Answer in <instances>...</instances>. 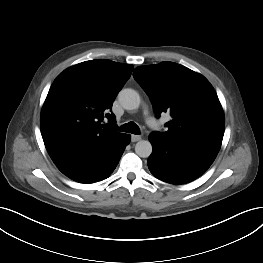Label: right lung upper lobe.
Masks as SVG:
<instances>
[{
    "label": "right lung upper lobe",
    "instance_id": "right-lung-upper-lobe-1",
    "mask_svg": "<svg viewBox=\"0 0 263 263\" xmlns=\"http://www.w3.org/2000/svg\"><path fill=\"white\" fill-rule=\"evenodd\" d=\"M132 70V65L96 59L71 66L54 80L40 127L57 166L113 146L124 135L116 131L115 115L108 112ZM105 117L109 123L102 124Z\"/></svg>",
    "mask_w": 263,
    "mask_h": 263
}]
</instances>
